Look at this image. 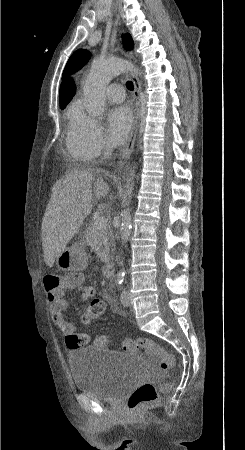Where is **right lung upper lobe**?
Wrapping results in <instances>:
<instances>
[{
  "mask_svg": "<svg viewBox=\"0 0 245 450\" xmlns=\"http://www.w3.org/2000/svg\"><path fill=\"white\" fill-rule=\"evenodd\" d=\"M75 85L71 78L64 80L60 87V108L65 107L75 95Z\"/></svg>",
  "mask_w": 245,
  "mask_h": 450,
  "instance_id": "right-lung-upper-lobe-1",
  "label": "right lung upper lobe"
}]
</instances>
